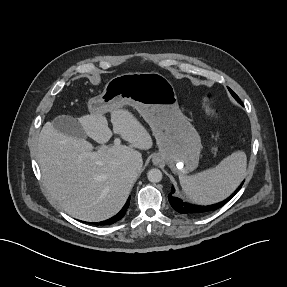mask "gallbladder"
I'll return each mask as SVG.
<instances>
[{
  "instance_id": "gallbladder-1",
  "label": "gallbladder",
  "mask_w": 287,
  "mask_h": 287,
  "mask_svg": "<svg viewBox=\"0 0 287 287\" xmlns=\"http://www.w3.org/2000/svg\"><path fill=\"white\" fill-rule=\"evenodd\" d=\"M52 125L57 131L67 136L77 139H83L85 137V131L80 122L70 115L57 116L53 120Z\"/></svg>"
}]
</instances>
